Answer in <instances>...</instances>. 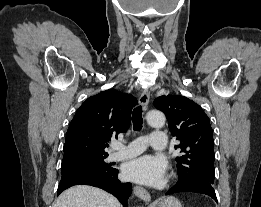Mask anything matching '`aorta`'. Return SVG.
<instances>
[{"instance_id": "aorta-1", "label": "aorta", "mask_w": 261, "mask_h": 207, "mask_svg": "<svg viewBox=\"0 0 261 207\" xmlns=\"http://www.w3.org/2000/svg\"><path fill=\"white\" fill-rule=\"evenodd\" d=\"M147 122L150 126L155 128H161L165 124V115L158 110H152L147 113Z\"/></svg>"}]
</instances>
